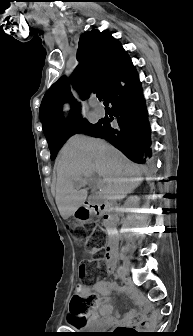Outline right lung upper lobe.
Listing matches in <instances>:
<instances>
[{
    "label": "right lung upper lobe",
    "instance_id": "1",
    "mask_svg": "<svg viewBox=\"0 0 193 336\" xmlns=\"http://www.w3.org/2000/svg\"><path fill=\"white\" fill-rule=\"evenodd\" d=\"M77 59L80 64L72 75V83L82 98L91 92L107 95L122 71L130 64L126 51L120 42L108 32L92 30L81 35ZM69 100L72 110L68 120L62 116V104ZM40 120L47 141L56 135L66 132L80 120V107L72 98L66 78L56 81L43 97L40 109Z\"/></svg>",
    "mask_w": 193,
    "mask_h": 336
}]
</instances>
